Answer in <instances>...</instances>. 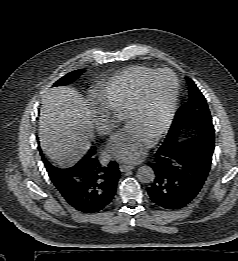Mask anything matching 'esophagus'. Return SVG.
<instances>
[{"instance_id": "obj_1", "label": "esophagus", "mask_w": 238, "mask_h": 261, "mask_svg": "<svg viewBox=\"0 0 238 261\" xmlns=\"http://www.w3.org/2000/svg\"><path fill=\"white\" fill-rule=\"evenodd\" d=\"M119 168H120V171H121V172H125V171H129V170L134 169L135 166H134V165H131V164H121V165L119 166Z\"/></svg>"}]
</instances>
